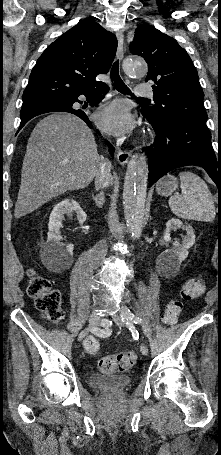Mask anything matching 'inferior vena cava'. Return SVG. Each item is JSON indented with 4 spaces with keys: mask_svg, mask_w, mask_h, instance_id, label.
<instances>
[{
    "mask_svg": "<svg viewBox=\"0 0 221 455\" xmlns=\"http://www.w3.org/2000/svg\"><path fill=\"white\" fill-rule=\"evenodd\" d=\"M111 181V163L103 160L99 171L95 176V188L96 190L104 189L108 187Z\"/></svg>",
    "mask_w": 221,
    "mask_h": 455,
    "instance_id": "1",
    "label": "inferior vena cava"
}]
</instances>
